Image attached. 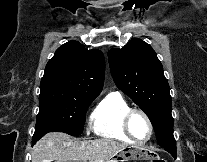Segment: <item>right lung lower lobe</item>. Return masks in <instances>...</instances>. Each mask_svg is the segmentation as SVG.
<instances>
[{"instance_id":"98d812e1","label":"right lung lower lobe","mask_w":207,"mask_h":162,"mask_svg":"<svg viewBox=\"0 0 207 162\" xmlns=\"http://www.w3.org/2000/svg\"><path fill=\"white\" fill-rule=\"evenodd\" d=\"M42 136H44V135L33 136L32 145L35 144Z\"/></svg>"}]
</instances>
